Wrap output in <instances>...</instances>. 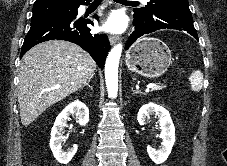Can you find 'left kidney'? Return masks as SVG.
<instances>
[{
	"label": "left kidney",
	"instance_id": "obj_1",
	"mask_svg": "<svg viewBox=\"0 0 227 166\" xmlns=\"http://www.w3.org/2000/svg\"><path fill=\"white\" fill-rule=\"evenodd\" d=\"M154 114L159 118L162 143L157 150L151 146H147V152L154 163L161 164L167 160L175 143V127L170 113L164 107L152 102L143 105L139 109L137 115L138 123L140 125L147 124L150 116Z\"/></svg>",
	"mask_w": 227,
	"mask_h": 166
}]
</instances>
